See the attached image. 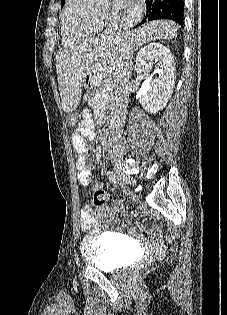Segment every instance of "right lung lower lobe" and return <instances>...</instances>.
Masks as SVG:
<instances>
[{"label": "right lung lower lobe", "instance_id": "obj_1", "mask_svg": "<svg viewBox=\"0 0 227 315\" xmlns=\"http://www.w3.org/2000/svg\"><path fill=\"white\" fill-rule=\"evenodd\" d=\"M183 0H146L147 12L142 20L170 19L183 24Z\"/></svg>", "mask_w": 227, "mask_h": 315}]
</instances>
